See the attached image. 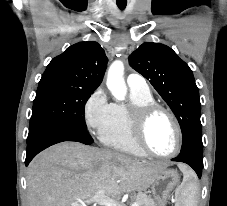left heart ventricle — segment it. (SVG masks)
<instances>
[{
  "label": "left heart ventricle",
  "instance_id": "1",
  "mask_svg": "<svg viewBox=\"0 0 227 206\" xmlns=\"http://www.w3.org/2000/svg\"><path fill=\"white\" fill-rule=\"evenodd\" d=\"M147 142L151 149L159 154H169L176 146V131L169 117L156 113L149 122Z\"/></svg>",
  "mask_w": 227,
  "mask_h": 206
}]
</instances>
